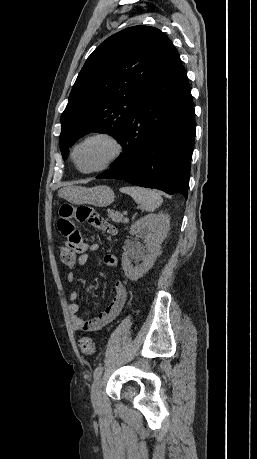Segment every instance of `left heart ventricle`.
<instances>
[{
    "label": "left heart ventricle",
    "mask_w": 257,
    "mask_h": 459,
    "mask_svg": "<svg viewBox=\"0 0 257 459\" xmlns=\"http://www.w3.org/2000/svg\"><path fill=\"white\" fill-rule=\"evenodd\" d=\"M112 146L105 140H92L76 151V162L83 170L95 168L104 162L112 153Z\"/></svg>",
    "instance_id": "obj_1"
}]
</instances>
